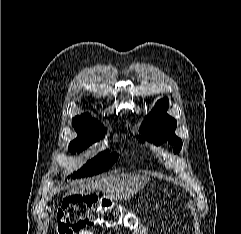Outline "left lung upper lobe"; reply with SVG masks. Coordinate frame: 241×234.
Returning <instances> with one entry per match:
<instances>
[{
    "label": "left lung upper lobe",
    "mask_w": 241,
    "mask_h": 234,
    "mask_svg": "<svg viewBox=\"0 0 241 234\" xmlns=\"http://www.w3.org/2000/svg\"><path fill=\"white\" fill-rule=\"evenodd\" d=\"M168 98L159 100L155 108L145 117L139 141L149 140L156 145L168 141L174 145V153H179L182 140L175 135L176 120L167 114Z\"/></svg>",
    "instance_id": "5c2ea615"
}]
</instances>
